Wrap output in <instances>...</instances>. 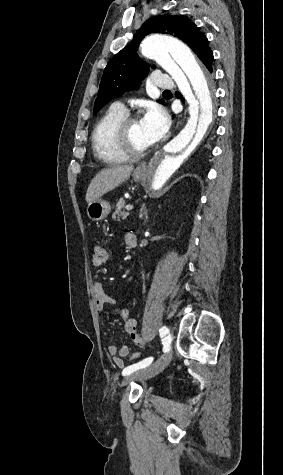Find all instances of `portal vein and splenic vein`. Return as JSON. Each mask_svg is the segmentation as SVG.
I'll use <instances>...</instances> for the list:
<instances>
[{"label": "portal vein and splenic vein", "instance_id": "1", "mask_svg": "<svg viewBox=\"0 0 283 475\" xmlns=\"http://www.w3.org/2000/svg\"><path fill=\"white\" fill-rule=\"evenodd\" d=\"M126 210H133V206H125Z\"/></svg>", "mask_w": 283, "mask_h": 475}]
</instances>
